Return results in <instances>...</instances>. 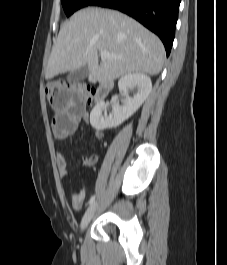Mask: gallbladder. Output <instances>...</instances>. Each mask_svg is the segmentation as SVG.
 Listing matches in <instances>:
<instances>
[{
    "label": "gallbladder",
    "mask_w": 227,
    "mask_h": 265,
    "mask_svg": "<svg viewBox=\"0 0 227 265\" xmlns=\"http://www.w3.org/2000/svg\"><path fill=\"white\" fill-rule=\"evenodd\" d=\"M88 75V67L83 66L76 70H73L67 76V80L70 82H79L82 81Z\"/></svg>",
    "instance_id": "gallbladder-1"
}]
</instances>
